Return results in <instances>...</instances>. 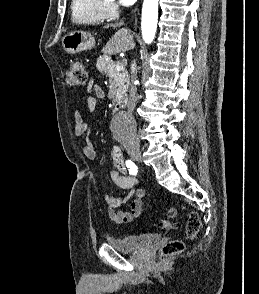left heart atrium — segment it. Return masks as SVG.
Masks as SVG:
<instances>
[{
    "instance_id": "1",
    "label": "left heart atrium",
    "mask_w": 259,
    "mask_h": 294,
    "mask_svg": "<svg viewBox=\"0 0 259 294\" xmlns=\"http://www.w3.org/2000/svg\"><path fill=\"white\" fill-rule=\"evenodd\" d=\"M120 3L124 6L133 5L137 0H119Z\"/></svg>"
}]
</instances>
